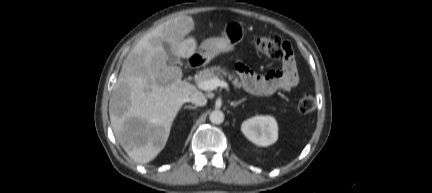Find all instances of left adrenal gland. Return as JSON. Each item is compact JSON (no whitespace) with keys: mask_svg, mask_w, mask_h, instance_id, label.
Instances as JSON below:
<instances>
[{"mask_svg":"<svg viewBox=\"0 0 432 193\" xmlns=\"http://www.w3.org/2000/svg\"><path fill=\"white\" fill-rule=\"evenodd\" d=\"M245 100H246V99L243 98V99H241V100H239V101H237V102H232L231 105H232L233 107H236L237 105H239L240 103L244 102Z\"/></svg>","mask_w":432,"mask_h":193,"instance_id":"obj_1","label":"left adrenal gland"}]
</instances>
